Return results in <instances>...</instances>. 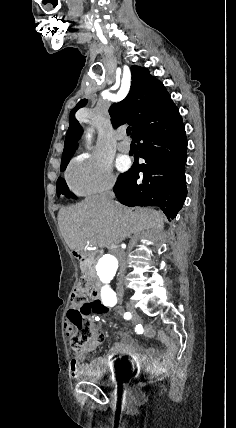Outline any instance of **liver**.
I'll list each match as a JSON object with an SVG mask.
<instances>
[{"mask_svg":"<svg viewBox=\"0 0 236 428\" xmlns=\"http://www.w3.org/2000/svg\"><path fill=\"white\" fill-rule=\"evenodd\" d=\"M58 224L70 250L83 254L87 242L99 248H111L139 232L156 236L164 228L161 212L152 208H125L105 200L104 196H89L81 204L59 210Z\"/></svg>","mask_w":236,"mask_h":428,"instance_id":"1","label":"liver"}]
</instances>
